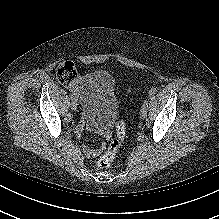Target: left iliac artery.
Instances as JSON below:
<instances>
[{
  "label": "left iliac artery",
  "instance_id": "obj_1",
  "mask_svg": "<svg viewBox=\"0 0 219 219\" xmlns=\"http://www.w3.org/2000/svg\"><path fill=\"white\" fill-rule=\"evenodd\" d=\"M142 107L144 108L148 107V99L144 100Z\"/></svg>",
  "mask_w": 219,
  "mask_h": 219
}]
</instances>
